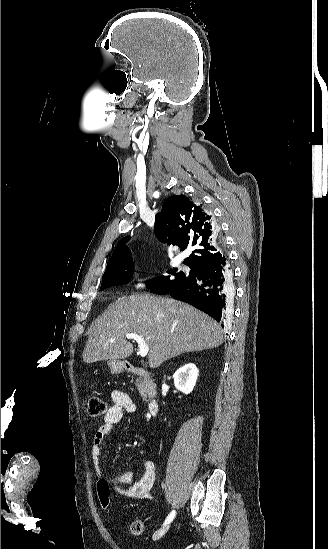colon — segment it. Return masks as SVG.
<instances>
[{
    "mask_svg": "<svg viewBox=\"0 0 328 549\" xmlns=\"http://www.w3.org/2000/svg\"><path fill=\"white\" fill-rule=\"evenodd\" d=\"M106 411L105 402L97 397L91 396L88 399V412L91 416H101ZM97 492L100 505L103 509H108L111 506L110 489L106 480L97 482ZM130 531L134 535H141L144 531V523L141 520H135L130 524Z\"/></svg>",
    "mask_w": 328,
    "mask_h": 549,
    "instance_id": "obj_1",
    "label": "colon"
}]
</instances>
